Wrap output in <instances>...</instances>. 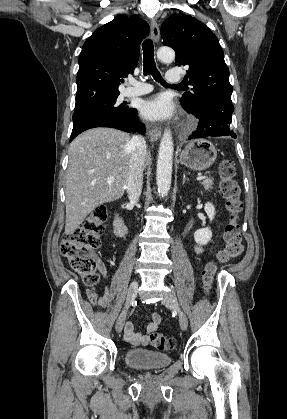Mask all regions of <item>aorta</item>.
<instances>
[{"mask_svg":"<svg viewBox=\"0 0 287 419\" xmlns=\"http://www.w3.org/2000/svg\"><path fill=\"white\" fill-rule=\"evenodd\" d=\"M157 58L164 62H171L175 59V52L168 47H161L157 51ZM173 138L170 129L164 130L157 159L156 184L161 196L167 195L171 186L173 166Z\"/></svg>","mask_w":287,"mask_h":419,"instance_id":"aorta-1","label":"aorta"}]
</instances>
